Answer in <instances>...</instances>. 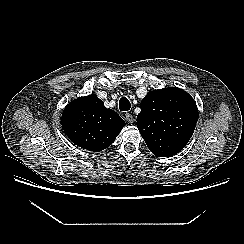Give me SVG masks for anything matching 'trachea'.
Masks as SVG:
<instances>
[{"label":"trachea","mask_w":244,"mask_h":244,"mask_svg":"<svg viewBox=\"0 0 244 244\" xmlns=\"http://www.w3.org/2000/svg\"><path fill=\"white\" fill-rule=\"evenodd\" d=\"M131 108L130 101L126 97H122L119 101V109L121 111H128Z\"/></svg>","instance_id":"obj_1"}]
</instances>
